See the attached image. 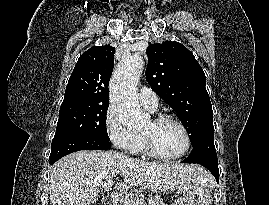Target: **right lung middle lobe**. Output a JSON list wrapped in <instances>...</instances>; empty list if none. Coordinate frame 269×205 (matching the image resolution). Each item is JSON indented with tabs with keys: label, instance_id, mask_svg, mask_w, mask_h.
I'll return each instance as SVG.
<instances>
[{
	"label": "right lung middle lobe",
	"instance_id": "right-lung-middle-lobe-1",
	"mask_svg": "<svg viewBox=\"0 0 269 205\" xmlns=\"http://www.w3.org/2000/svg\"><path fill=\"white\" fill-rule=\"evenodd\" d=\"M109 105L74 104L61 106L55 138L80 135L109 142L106 114Z\"/></svg>",
	"mask_w": 269,
	"mask_h": 205
}]
</instances>
